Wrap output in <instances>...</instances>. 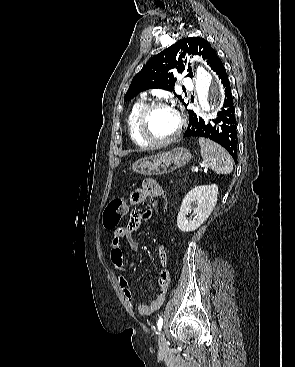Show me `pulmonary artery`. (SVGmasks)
Masks as SVG:
<instances>
[{
  "label": "pulmonary artery",
  "instance_id": "pulmonary-artery-1",
  "mask_svg": "<svg viewBox=\"0 0 295 367\" xmlns=\"http://www.w3.org/2000/svg\"><path fill=\"white\" fill-rule=\"evenodd\" d=\"M184 87L191 89L193 87V83L190 78H184L182 81Z\"/></svg>",
  "mask_w": 295,
  "mask_h": 367
}]
</instances>
